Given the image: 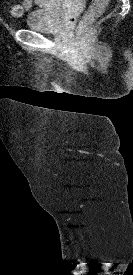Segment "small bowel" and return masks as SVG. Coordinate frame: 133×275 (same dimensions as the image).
I'll return each mask as SVG.
<instances>
[{
  "label": "small bowel",
  "instance_id": "obj_1",
  "mask_svg": "<svg viewBox=\"0 0 133 275\" xmlns=\"http://www.w3.org/2000/svg\"><path fill=\"white\" fill-rule=\"evenodd\" d=\"M28 5H29V8L31 7V0H26Z\"/></svg>",
  "mask_w": 133,
  "mask_h": 275
}]
</instances>
